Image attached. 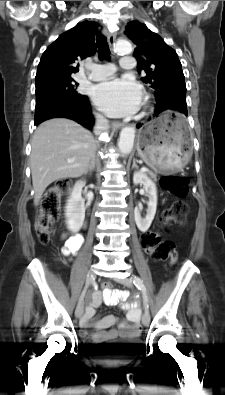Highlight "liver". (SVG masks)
<instances>
[{
	"instance_id": "liver-1",
	"label": "liver",
	"mask_w": 225,
	"mask_h": 395,
	"mask_svg": "<svg viewBox=\"0 0 225 395\" xmlns=\"http://www.w3.org/2000/svg\"><path fill=\"white\" fill-rule=\"evenodd\" d=\"M30 155L34 205L54 181L83 175L95 150L90 131L66 118H54L35 130ZM72 160V162H68Z\"/></svg>"
}]
</instances>
